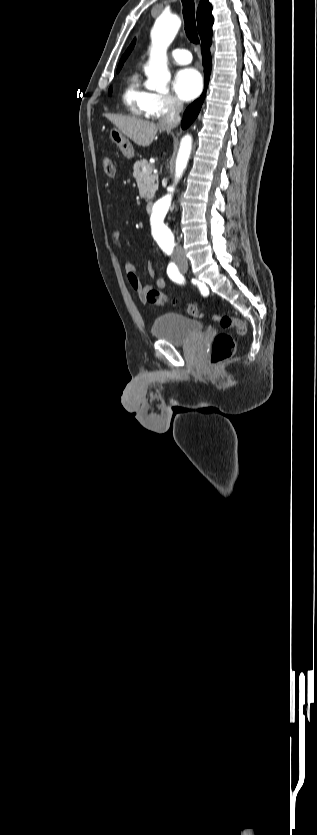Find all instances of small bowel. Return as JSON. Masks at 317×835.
I'll return each instance as SVG.
<instances>
[{
  "mask_svg": "<svg viewBox=\"0 0 317 835\" xmlns=\"http://www.w3.org/2000/svg\"><path fill=\"white\" fill-rule=\"evenodd\" d=\"M111 239L113 243L119 246V239H118V232L116 230L112 231ZM125 270L127 273V279L131 286V288L136 291L141 298H144L145 293L149 290V286H144L136 272V268L132 263H128L125 266ZM148 274L151 278L155 279V284L159 289H164L166 287V281L163 277H159L156 275V271L152 264L148 265L147 268Z\"/></svg>",
  "mask_w": 317,
  "mask_h": 835,
  "instance_id": "small-bowel-1",
  "label": "small bowel"
}]
</instances>
